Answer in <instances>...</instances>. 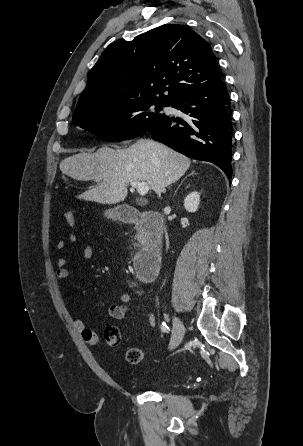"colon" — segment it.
<instances>
[{
  "mask_svg": "<svg viewBox=\"0 0 303 446\" xmlns=\"http://www.w3.org/2000/svg\"><path fill=\"white\" fill-rule=\"evenodd\" d=\"M65 218L69 226L74 227L76 225V218L72 211L65 213ZM104 339L108 346L117 347L121 343V333L116 326H108L104 330ZM143 359V352L137 347H131L126 352V360L130 364H139Z\"/></svg>",
  "mask_w": 303,
  "mask_h": 446,
  "instance_id": "obj_1",
  "label": "colon"
}]
</instances>
